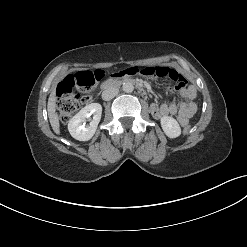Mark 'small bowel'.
<instances>
[{"label":"small bowel","mask_w":247,"mask_h":247,"mask_svg":"<svg viewBox=\"0 0 247 247\" xmlns=\"http://www.w3.org/2000/svg\"><path fill=\"white\" fill-rule=\"evenodd\" d=\"M116 76H133L139 75L145 78L167 77L175 82L174 91L186 99L184 102H170L161 105L152 104L150 107L151 114L160 119L166 116L177 114V120L181 126L188 124L189 120L197 111L195 101L196 91L193 86L188 85L185 77L176 69L168 66H146L138 68L135 66L128 67L115 74Z\"/></svg>","instance_id":"small-bowel-1"}]
</instances>
